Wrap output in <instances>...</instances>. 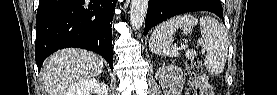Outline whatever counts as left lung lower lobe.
<instances>
[{"label": "left lung lower lobe", "mask_w": 277, "mask_h": 95, "mask_svg": "<svg viewBox=\"0 0 277 95\" xmlns=\"http://www.w3.org/2000/svg\"><path fill=\"white\" fill-rule=\"evenodd\" d=\"M218 1V4H216ZM211 11L223 18V9L219 0H204L195 3L186 0H149L145 21V35L147 32L159 24L175 15L192 11Z\"/></svg>", "instance_id": "obj_1"}]
</instances>
